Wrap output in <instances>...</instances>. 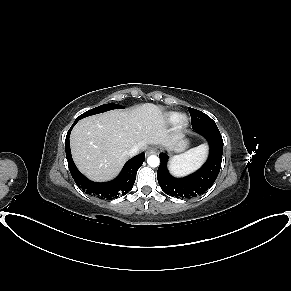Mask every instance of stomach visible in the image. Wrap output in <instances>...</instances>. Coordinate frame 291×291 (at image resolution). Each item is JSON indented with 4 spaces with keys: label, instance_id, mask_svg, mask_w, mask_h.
Segmentation results:
<instances>
[{
    "label": "stomach",
    "instance_id": "stomach-1",
    "mask_svg": "<svg viewBox=\"0 0 291 291\" xmlns=\"http://www.w3.org/2000/svg\"><path fill=\"white\" fill-rule=\"evenodd\" d=\"M186 148V142L182 139H180L176 145L173 147V150L175 152H182Z\"/></svg>",
    "mask_w": 291,
    "mask_h": 291
}]
</instances>
